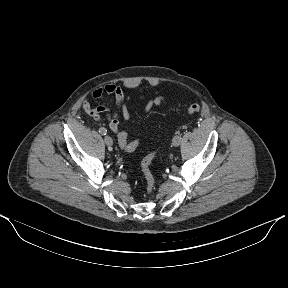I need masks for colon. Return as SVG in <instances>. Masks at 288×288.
Listing matches in <instances>:
<instances>
[{"mask_svg":"<svg viewBox=\"0 0 288 288\" xmlns=\"http://www.w3.org/2000/svg\"><path fill=\"white\" fill-rule=\"evenodd\" d=\"M188 113L190 115H195L200 112V106L198 104H192L188 107ZM119 144L126 150V151H134L138 145V141H129L127 137V133L123 132L119 137H118ZM158 157V153H151L147 155L142 163H141V169L146 181V186H147V191L152 192L155 186V178L154 175L151 171V165L153 161Z\"/></svg>","mask_w":288,"mask_h":288,"instance_id":"1","label":"colon"}]
</instances>
